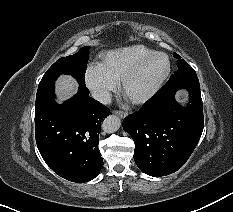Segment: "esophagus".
Masks as SVG:
<instances>
[{
  "mask_svg": "<svg viewBox=\"0 0 233 212\" xmlns=\"http://www.w3.org/2000/svg\"><path fill=\"white\" fill-rule=\"evenodd\" d=\"M114 113H115L116 115H118L119 117H121V118H125V117L128 115L127 112L122 111V110H116V111H114Z\"/></svg>",
  "mask_w": 233,
  "mask_h": 212,
  "instance_id": "esophagus-1",
  "label": "esophagus"
}]
</instances>
